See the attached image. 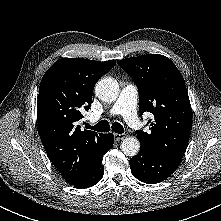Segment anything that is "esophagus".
Instances as JSON below:
<instances>
[{
  "label": "esophagus",
  "mask_w": 221,
  "mask_h": 221,
  "mask_svg": "<svg viewBox=\"0 0 221 221\" xmlns=\"http://www.w3.org/2000/svg\"><path fill=\"white\" fill-rule=\"evenodd\" d=\"M125 137H126L125 133H123V134L114 133V138L116 141H120V140L124 139Z\"/></svg>",
  "instance_id": "34e87169"
}]
</instances>
